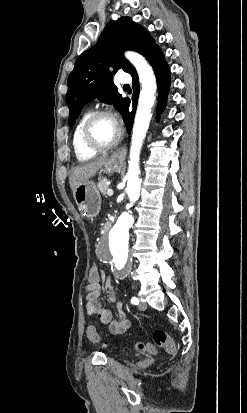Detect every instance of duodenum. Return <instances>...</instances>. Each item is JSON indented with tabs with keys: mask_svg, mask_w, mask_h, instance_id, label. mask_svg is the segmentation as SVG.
Masks as SVG:
<instances>
[{
	"mask_svg": "<svg viewBox=\"0 0 247 413\" xmlns=\"http://www.w3.org/2000/svg\"><path fill=\"white\" fill-rule=\"evenodd\" d=\"M110 228H111V222H110V221H107V222L104 224V231L107 232V231L110 230Z\"/></svg>",
	"mask_w": 247,
	"mask_h": 413,
	"instance_id": "1",
	"label": "duodenum"
}]
</instances>
